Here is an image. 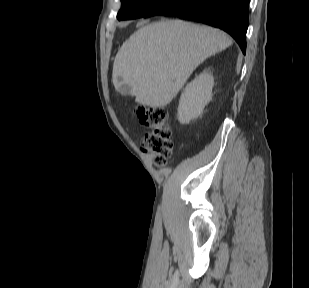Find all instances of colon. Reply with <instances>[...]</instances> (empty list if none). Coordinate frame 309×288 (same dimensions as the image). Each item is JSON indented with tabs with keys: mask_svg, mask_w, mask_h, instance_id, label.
<instances>
[{
	"mask_svg": "<svg viewBox=\"0 0 309 288\" xmlns=\"http://www.w3.org/2000/svg\"><path fill=\"white\" fill-rule=\"evenodd\" d=\"M135 115L150 130L141 140L142 150L153 155L156 167H165L173 149V132L167 122L168 111L158 106L140 105L136 107Z\"/></svg>",
	"mask_w": 309,
	"mask_h": 288,
	"instance_id": "1",
	"label": "colon"
}]
</instances>
